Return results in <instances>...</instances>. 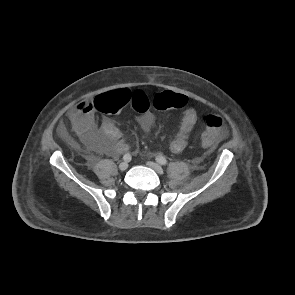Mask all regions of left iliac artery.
Returning a JSON list of instances; mask_svg holds the SVG:
<instances>
[{
	"instance_id": "1",
	"label": "left iliac artery",
	"mask_w": 295,
	"mask_h": 295,
	"mask_svg": "<svg viewBox=\"0 0 295 295\" xmlns=\"http://www.w3.org/2000/svg\"><path fill=\"white\" fill-rule=\"evenodd\" d=\"M156 161L158 163H160L161 165H166L167 164V160H166V158L164 156H157Z\"/></svg>"
}]
</instances>
